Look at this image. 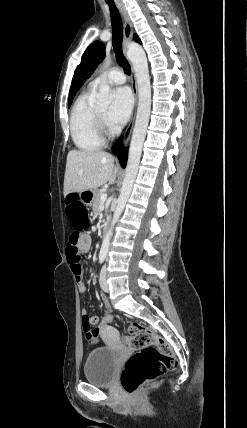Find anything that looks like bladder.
Segmentation results:
<instances>
[{
	"mask_svg": "<svg viewBox=\"0 0 247 428\" xmlns=\"http://www.w3.org/2000/svg\"><path fill=\"white\" fill-rule=\"evenodd\" d=\"M118 369V356L115 349L98 347L90 351L84 364L86 381L95 385L113 383Z\"/></svg>",
	"mask_w": 247,
	"mask_h": 428,
	"instance_id": "obj_1",
	"label": "bladder"
}]
</instances>
